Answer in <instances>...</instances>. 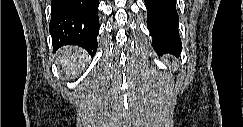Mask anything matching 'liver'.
Here are the masks:
<instances>
[{
	"label": "liver",
	"mask_w": 243,
	"mask_h": 127,
	"mask_svg": "<svg viewBox=\"0 0 243 127\" xmlns=\"http://www.w3.org/2000/svg\"><path fill=\"white\" fill-rule=\"evenodd\" d=\"M58 60L66 74L76 76L85 67L88 57L81 48L66 46L58 50Z\"/></svg>",
	"instance_id": "1"
}]
</instances>
